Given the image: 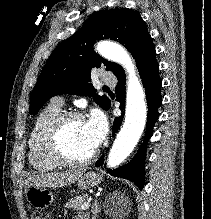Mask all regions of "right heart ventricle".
Wrapping results in <instances>:
<instances>
[{"instance_id": "1", "label": "right heart ventricle", "mask_w": 211, "mask_h": 219, "mask_svg": "<svg viewBox=\"0 0 211 219\" xmlns=\"http://www.w3.org/2000/svg\"><path fill=\"white\" fill-rule=\"evenodd\" d=\"M60 112L62 105L51 102L36 117L28 138V160L30 165L39 172H46L59 166L43 152L41 136L45 126Z\"/></svg>"}]
</instances>
